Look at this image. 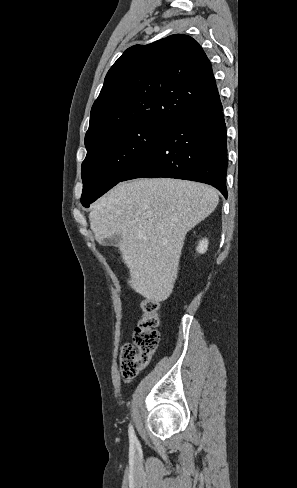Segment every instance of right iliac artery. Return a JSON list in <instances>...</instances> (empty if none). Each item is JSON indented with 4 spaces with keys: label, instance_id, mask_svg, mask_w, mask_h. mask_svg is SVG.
Wrapping results in <instances>:
<instances>
[{
    "label": "right iliac artery",
    "instance_id": "obj_1",
    "mask_svg": "<svg viewBox=\"0 0 297 488\" xmlns=\"http://www.w3.org/2000/svg\"><path fill=\"white\" fill-rule=\"evenodd\" d=\"M129 438H130V441L132 443L136 442V436H135L134 429H133L132 425L129 426Z\"/></svg>",
    "mask_w": 297,
    "mask_h": 488
}]
</instances>
